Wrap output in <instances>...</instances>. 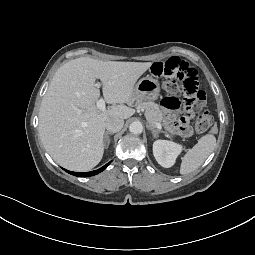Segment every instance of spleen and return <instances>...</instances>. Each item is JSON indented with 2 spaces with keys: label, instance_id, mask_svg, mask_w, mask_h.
Returning a JSON list of instances; mask_svg holds the SVG:
<instances>
[{
  "label": "spleen",
  "instance_id": "obj_1",
  "mask_svg": "<svg viewBox=\"0 0 255 255\" xmlns=\"http://www.w3.org/2000/svg\"><path fill=\"white\" fill-rule=\"evenodd\" d=\"M216 146V138L212 134L202 136L198 142L181 158L180 173L185 175L199 168Z\"/></svg>",
  "mask_w": 255,
  "mask_h": 255
}]
</instances>
